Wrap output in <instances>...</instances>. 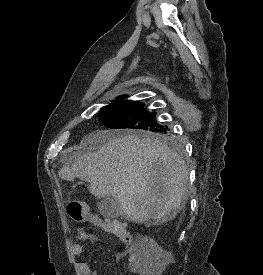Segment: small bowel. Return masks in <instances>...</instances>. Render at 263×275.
Instances as JSON below:
<instances>
[{
  "label": "small bowel",
  "mask_w": 263,
  "mask_h": 275,
  "mask_svg": "<svg viewBox=\"0 0 263 275\" xmlns=\"http://www.w3.org/2000/svg\"><path fill=\"white\" fill-rule=\"evenodd\" d=\"M111 221H104L96 217V220L93 222L95 225L102 227L103 229L106 228L107 224ZM83 241H91L93 243L99 242L97 236L80 231L78 234L77 241L72 246V253L76 259H78L83 253ZM128 254V268L132 273L143 275L145 270V259L141 256V250L139 247H130L127 249ZM77 266L81 271L82 275H97V272L94 271L90 265L83 261H77Z\"/></svg>",
  "instance_id": "obj_1"
}]
</instances>
